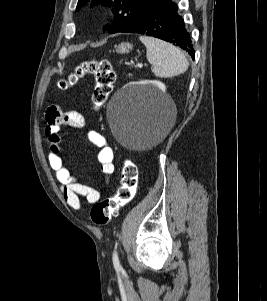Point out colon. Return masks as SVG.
I'll return each instance as SVG.
<instances>
[{
    "label": "colon",
    "instance_id": "5ec220e1",
    "mask_svg": "<svg viewBox=\"0 0 267 301\" xmlns=\"http://www.w3.org/2000/svg\"><path fill=\"white\" fill-rule=\"evenodd\" d=\"M85 74H92L95 78L92 104L95 110H99L113 90L116 79L115 72L108 60L92 59L79 65L68 79L59 82V86L63 89L67 88L68 85L75 83L78 78ZM137 183L138 171L136 165L131 161H125L122 165L119 187L113 195L92 207L90 212L92 221L98 226L108 225L117 214V211L133 200L136 194Z\"/></svg>",
    "mask_w": 267,
    "mask_h": 301
}]
</instances>
